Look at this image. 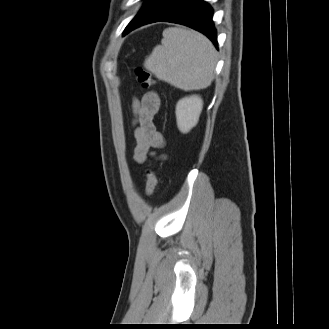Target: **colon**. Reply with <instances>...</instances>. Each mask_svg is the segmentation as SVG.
I'll list each match as a JSON object with an SVG mask.
<instances>
[{"label":"colon","instance_id":"1","mask_svg":"<svg viewBox=\"0 0 329 329\" xmlns=\"http://www.w3.org/2000/svg\"><path fill=\"white\" fill-rule=\"evenodd\" d=\"M134 74L137 82L144 89L151 88L154 85V81L151 77V74L146 69L138 67L135 69ZM157 184H158L157 171L152 167H148L146 171V186L144 191L145 195L151 196L154 193Z\"/></svg>","mask_w":329,"mask_h":329}]
</instances>
